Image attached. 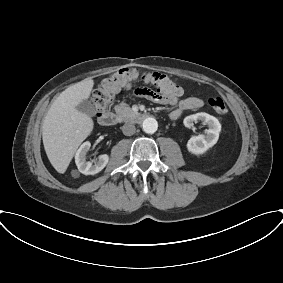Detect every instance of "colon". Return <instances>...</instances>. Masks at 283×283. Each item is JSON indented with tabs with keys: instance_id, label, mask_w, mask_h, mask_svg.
<instances>
[{
	"instance_id": "5ec220e1",
	"label": "colon",
	"mask_w": 283,
	"mask_h": 283,
	"mask_svg": "<svg viewBox=\"0 0 283 283\" xmlns=\"http://www.w3.org/2000/svg\"><path fill=\"white\" fill-rule=\"evenodd\" d=\"M139 76H141L145 83L154 85L156 90L146 87L137 88L135 89V93L138 95L154 97L157 100L163 101L175 93L174 82L162 73L153 72L140 75L134 69L122 68L105 78L93 93L91 100L97 114H101L107 109L118 89L128 85ZM208 104L218 114H225L227 112V106L220 97L209 98Z\"/></svg>"
}]
</instances>
